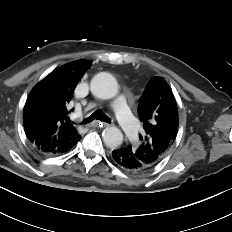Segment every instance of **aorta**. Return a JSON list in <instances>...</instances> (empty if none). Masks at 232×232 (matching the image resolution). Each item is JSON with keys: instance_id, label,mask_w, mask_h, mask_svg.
<instances>
[{"instance_id": "aorta-1", "label": "aorta", "mask_w": 232, "mask_h": 232, "mask_svg": "<svg viewBox=\"0 0 232 232\" xmlns=\"http://www.w3.org/2000/svg\"><path fill=\"white\" fill-rule=\"evenodd\" d=\"M92 94L100 99H112L118 94V83L109 73L101 72L93 77L90 83ZM103 141L110 149L119 147L123 142V134L114 126L105 128Z\"/></svg>"}]
</instances>
